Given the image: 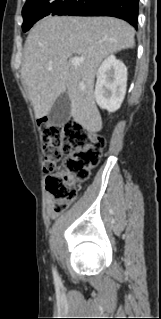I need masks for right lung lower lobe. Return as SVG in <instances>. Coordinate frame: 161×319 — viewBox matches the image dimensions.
I'll return each instance as SVG.
<instances>
[{
  "label": "right lung lower lobe",
  "mask_w": 161,
  "mask_h": 319,
  "mask_svg": "<svg viewBox=\"0 0 161 319\" xmlns=\"http://www.w3.org/2000/svg\"><path fill=\"white\" fill-rule=\"evenodd\" d=\"M139 0H86L69 16H113L123 19L135 28L138 20Z\"/></svg>",
  "instance_id": "right-lung-lower-lobe-1"
}]
</instances>
